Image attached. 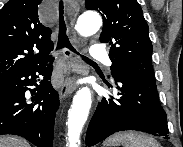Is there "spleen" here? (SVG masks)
Wrapping results in <instances>:
<instances>
[{
	"label": "spleen",
	"mask_w": 183,
	"mask_h": 147,
	"mask_svg": "<svg viewBox=\"0 0 183 147\" xmlns=\"http://www.w3.org/2000/svg\"><path fill=\"white\" fill-rule=\"evenodd\" d=\"M104 147H161L152 137L137 132H120L108 138Z\"/></svg>",
	"instance_id": "1"
}]
</instances>
